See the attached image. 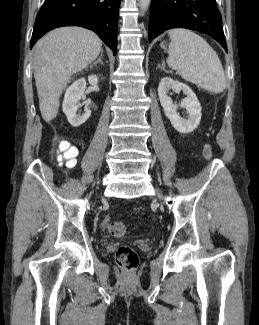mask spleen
Masks as SVG:
<instances>
[{"label": "spleen", "instance_id": "1", "mask_svg": "<svg viewBox=\"0 0 259 325\" xmlns=\"http://www.w3.org/2000/svg\"><path fill=\"white\" fill-rule=\"evenodd\" d=\"M171 39L167 64L184 80L209 92L226 87L221 61L214 49L199 35L183 28L168 32Z\"/></svg>", "mask_w": 259, "mask_h": 325}]
</instances>
